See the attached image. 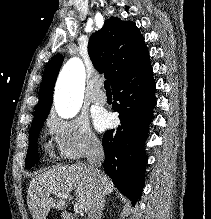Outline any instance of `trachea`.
<instances>
[{
    "label": "trachea",
    "instance_id": "3493384b",
    "mask_svg": "<svg viewBox=\"0 0 211 219\" xmlns=\"http://www.w3.org/2000/svg\"><path fill=\"white\" fill-rule=\"evenodd\" d=\"M104 88L106 89L107 92H111V90H110V85H109V81H105V82H104Z\"/></svg>",
    "mask_w": 211,
    "mask_h": 219
}]
</instances>
